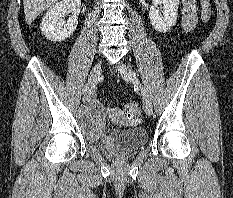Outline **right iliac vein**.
Segmentation results:
<instances>
[{"instance_id": "1", "label": "right iliac vein", "mask_w": 233, "mask_h": 198, "mask_svg": "<svg viewBox=\"0 0 233 198\" xmlns=\"http://www.w3.org/2000/svg\"><path fill=\"white\" fill-rule=\"evenodd\" d=\"M100 75H101V62H98L97 64L94 65L89 75L87 88L83 97L85 103H89L91 101Z\"/></svg>"}]
</instances>
